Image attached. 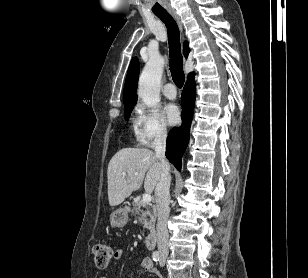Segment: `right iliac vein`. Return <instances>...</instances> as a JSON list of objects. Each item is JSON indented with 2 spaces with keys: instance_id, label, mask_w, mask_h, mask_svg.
Masks as SVG:
<instances>
[{
  "instance_id": "63e3f726",
  "label": "right iliac vein",
  "mask_w": 308,
  "mask_h": 278,
  "mask_svg": "<svg viewBox=\"0 0 308 278\" xmlns=\"http://www.w3.org/2000/svg\"><path fill=\"white\" fill-rule=\"evenodd\" d=\"M162 256H166V253H162Z\"/></svg>"
}]
</instances>
